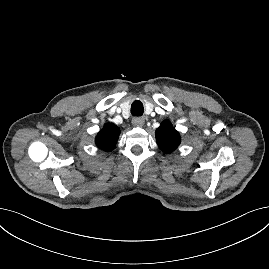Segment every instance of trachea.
<instances>
[{"mask_svg": "<svg viewBox=\"0 0 269 269\" xmlns=\"http://www.w3.org/2000/svg\"><path fill=\"white\" fill-rule=\"evenodd\" d=\"M144 112V107L142 102L135 100L131 105V114L133 116H142Z\"/></svg>", "mask_w": 269, "mask_h": 269, "instance_id": "3493384b", "label": "trachea"}]
</instances>
